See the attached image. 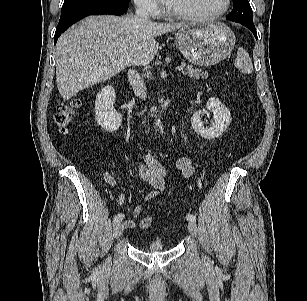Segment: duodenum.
<instances>
[{"label":"duodenum","instance_id":"410a0bca","mask_svg":"<svg viewBox=\"0 0 307 301\" xmlns=\"http://www.w3.org/2000/svg\"><path fill=\"white\" fill-rule=\"evenodd\" d=\"M171 100L170 98L166 99L158 108L152 109L151 114L155 117L164 116L170 109Z\"/></svg>","mask_w":307,"mask_h":301}]
</instances>
